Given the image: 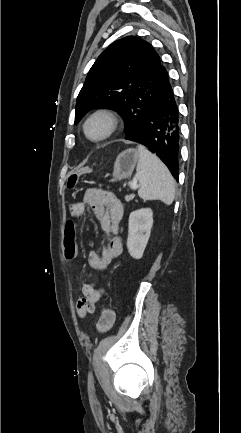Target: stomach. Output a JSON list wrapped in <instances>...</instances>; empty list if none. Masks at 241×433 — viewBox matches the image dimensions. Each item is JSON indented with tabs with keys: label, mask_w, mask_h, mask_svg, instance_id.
<instances>
[{
	"label": "stomach",
	"mask_w": 241,
	"mask_h": 433,
	"mask_svg": "<svg viewBox=\"0 0 241 433\" xmlns=\"http://www.w3.org/2000/svg\"><path fill=\"white\" fill-rule=\"evenodd\" d=\"M138 159L139 154L135 149H127L121 152L114 162L112 179L110 181L116 182L129 178L132 175Z\"/></svg>",
	"instance_id": "1"
}]
</instances>
